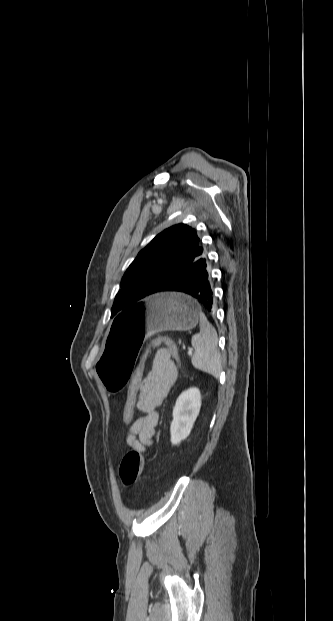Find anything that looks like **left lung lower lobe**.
Instances as JSON below:
<instances>
[{"instance_id":"obj_1","label":"left lung lower lobe","mask_w":333,"mask_h":621,"mask_svg":"<svg viewBox=\"0 0 333 621\" xmlns=\"http://www.w3.org/2000/svg\"><path fill=\"white\" fill-rule=\"evenodd\" d=\"M170 291L186 293L194 297L208 311H213V291L207 254L195 261L189 269L173 277L159 290V292Z\"/></svg>"}]
</instances>
